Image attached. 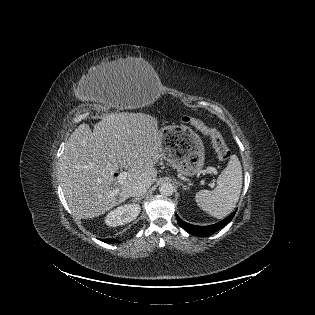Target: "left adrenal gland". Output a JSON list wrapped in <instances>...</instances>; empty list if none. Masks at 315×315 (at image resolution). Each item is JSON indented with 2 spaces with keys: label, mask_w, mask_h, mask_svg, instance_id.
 Returning <instances> with one entry per match:
<instances>
[{
  "label": "left adrenal gland",
  "mask_w": 315,
  "mask_h": 315,
  "mask_svg": "<svg viewBox=\"0 0 315 315\" xmlns=\"http://www.w3.org/2000/svg\"><path fill=\"white\" fill-rule=\"evenodd\" d=\"M179 185H181L183 187V189H185V190L188 189L189 190V187L184 185L183 183L179 182Z\"/></svg>",
  "instance_id": "a2214340"
}]
</instances>
